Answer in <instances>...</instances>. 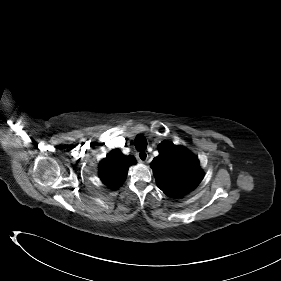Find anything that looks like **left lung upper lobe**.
I'll return each mask as SVG.
<instances>
[{"label": "left lung upper lobe", "instance_id": "1", "mask_svg": "<svg viewBox=\"0 0 281 281\" xmlns=\"http://www.w3.org/2000/svg\"><path fill=\"white\" fill-rule=\"evenodd\" d=\"M159 155L151 163L158 187L169 197H182L203 178L199 161L186 148L168 141L158 145Z\"/></svg>", "mask_w": 281, "mask_h": 281}]
</instances>
